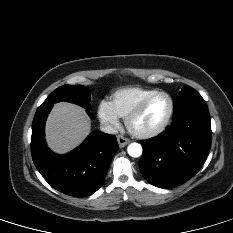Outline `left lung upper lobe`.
Returning a JSON list of instances; mask_svg holds the SVG:
<instances>
[{
  "label": "left lung upper lobe",
  "mask_w": 233,
  "mask_h": 233,
  "mask_svg": "<svg viewBox=\"0 0 233 233\" xmlns=\"http://www.w3.org/2000/svg\"><path fill=\"white\" fill-rule=\"evenodd\" d=\"M193 107H207V105L197 91L186 85L174 99V116Z\"/></svg>",
  "instance_id": "5c2ea615"
}]
</instances>
